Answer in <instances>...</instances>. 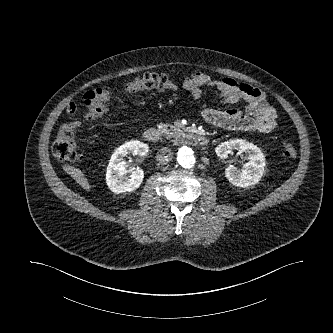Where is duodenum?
<instances>
[{"label": "duodenum", "mask_w": 333, "mask_h": 333, "mask_svg": "<svg viewBox=\"0 0 333 333\" xmlns=\"http://www.w3.org/2000/svg\"><path fill=\"white\" fill-rule=\"evenodd\" d=\"M157 137H158V132L154 128L148 129L143 134L144 140L149 142L155 141ZM176 139L186 144H190L193 146H200V147L205 146L208 143V138L206 136L188 130H182L178 132Z\"/></svg>", "instance_id": "1"}]
</instances>
